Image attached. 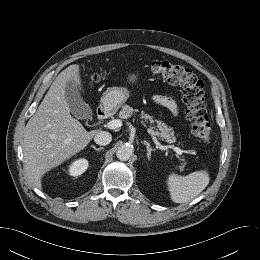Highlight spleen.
Here are the masks:
<instances>
[{
	"mask_svg": "<svg viewBox=\"0 0 260 260\" xmlns=\"http://www.w3.org/2000/svg\"><path fill=\"white\" fill-rule=\"evenodd\" d=\"M210 177L207 171L201 170L180 176L171 173L167 184L170 196L175 203H185L198 196L209 184Z\"/></svg>",
	"mask_w": 260,
	"mask_h": 260,
	"instance_id": "3e777b00",
	"label": "spleen"
}]
</instances>
